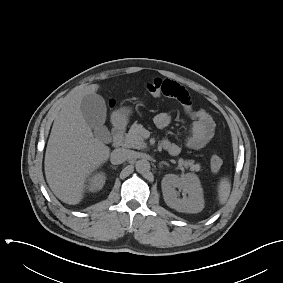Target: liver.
<instances>
[{
	"mask_svg": "<svg viewBox=\"0 0 283 283\" xmlns=\"http://www.w3.org/2000/svg\"><path fill=\"white\" fill-rule=\"evenodd\" d=\"M98 88L91 84L63 102L47 143V183L58 199L70 205L83 199L87 178L110 155V148L94 136L80 108L83 97L95 94Z\"/></svg>",
	"mask_w": 283,
	"mask_h": 283,
	"instance_id": "6515ba94",
	"label": "liver"
}]
</instances>
